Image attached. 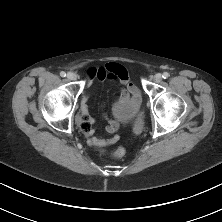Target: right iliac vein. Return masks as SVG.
<instances>
[{
	"label": "right iliac vein",
	"instance_id": "63e3f726",
	"mask_svg": "<svg viewBox=\"0 0 222 222\" xmlns=\"http://www.w3.org/2000/svg\"><path fill=\"white\" fill-rule=\"evenodd\" d=\"M67 78H68L69 80H76V79H77V75H76L75 73H73V72H69V73L67 74Z\"/></svg>",
	"mask_w": 222,
	"mask_h": 222
}]
</instances>
